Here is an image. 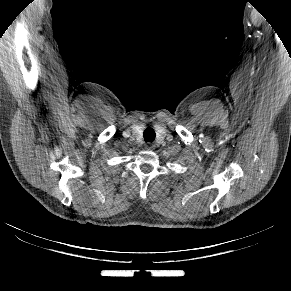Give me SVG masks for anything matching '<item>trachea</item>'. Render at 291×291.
I'll list each match as a JSON object with an SVG mask.
<instances>
[{
    "label": "trachea",
    "mask_w": 291,
    "mask_h": 291,
    "mask_svg": "<svg viewBox=\"0 0 291 291\" xmlns=\"http://www.w3.org/2000/svg\"><path fill=\"white\" fill-rule=\"evenodd\" d=\"M143 137L145 142H153L156 137L155 131L152 128H147L143 132Z\"/></svg>",
    "instance_id": "trachea-1"
}]
</instances>
